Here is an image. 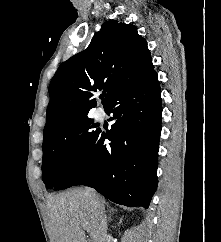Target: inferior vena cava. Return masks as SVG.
<instances>
[{"instance_id": "1", "label": "inferior vena cava", "mask_w": 221, "mask_h": 242, "mask_svg": "<svg viewBox=\"0 0 221 242\" xmlns=\"http://www.w3.org/2000/svg\"><path fill=\"white\" fill-rule=\"evenodd\" d=\"M89 197L92 199L93 204L98 208L99 222H100V238L99 242H109L110 236L107 234V217L105 214V207L100 204L97 199L95 191L88 189Z\"/></svg>"}]
</instances>
